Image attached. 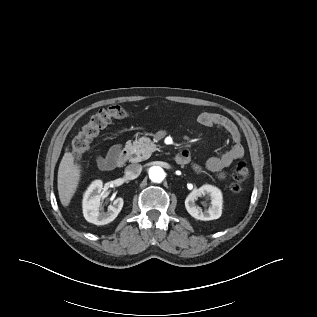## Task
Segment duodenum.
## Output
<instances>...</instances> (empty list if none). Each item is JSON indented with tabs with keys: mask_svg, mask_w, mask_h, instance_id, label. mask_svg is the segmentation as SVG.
<instances>
[{
	"mask_svg": "<svg viewBox=\"0 0 317 317\" xmlns=\"http://www.w3.org/2000/svg\"><path fill=\"white\" fill-rule=\"evenodd\" d=\"M129 158V151L128 149H122L119 154L108 160L105 166V170H112L116 167L123 166ZM189 158V154L187 151H180L175 156V161L178 164H184Z\"/></svg>",
	"mask_w": 317,
	"mask_h": 317,
	"instance_id": "410a0bca",
	"label": "duodenum"
}]
</instances>
